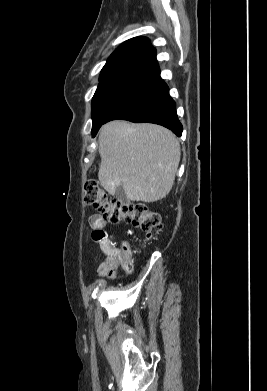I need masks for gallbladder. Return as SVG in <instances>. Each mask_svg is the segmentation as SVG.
I'll use <instances>...</instances> for the list:
<instances>
[{
	"mask_svg": "<svg viewBox=\"0 0 267 391\" xmlns=\"http://www.w3.org/2000/svg\"><path fill=\"white\" fill-rule=\"evenodd\" d=\"M115 196L122 203H126L128 201L126 193L121 185L116 188Z\"/></svg>",
	"mask_w": 267,
	"mask_h": 391,
	"instance_id": "obj_1",
	"label": "gallbladder"
}]
</instances>
